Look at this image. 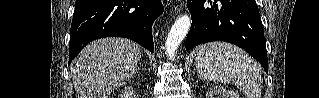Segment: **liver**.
Returning a JSON list of instances; mask_svg holds the SVG:
<instances>
[{
  "label": "liver",
  "instance_id": "liver-1",
  "mask_svg": "<svg viewBox=\"0 0 319 98\" xmlns=\"http://www.w3.org/2000/svg\"><path fill=\"white\" fill-rule=\"evenodd\" d=\"M140 47L125 38H104L88 44L72 62L77 98H107L137 70Z\"/></svg>",
  "mask_w": 319,
  "mask_h": 98
}]
</instances>
